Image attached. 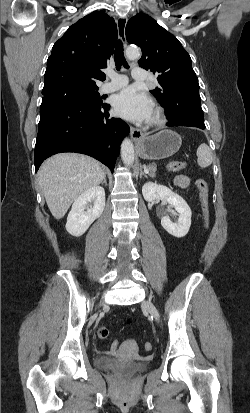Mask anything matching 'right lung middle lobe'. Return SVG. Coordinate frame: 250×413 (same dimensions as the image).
Here are the masks:
<instances>
[{"instance_id":"1","label":"right lung middle lobe","mask_w":250,"mask_h":413,"mask_svg":"<svg viewBox=\"0 0 250 413\" xmlns=\"http://www.w3.org/2000/svg\"><path fill=\"white\" fill-rule=\"evenodd\" d=\"M98 87L96 88H85V87H68L58 90H54L47 94H44L42 102L50 100H76L85 103L101 105L102 99L100 94L97 92Z\"/></svg>"}]
</instances>
